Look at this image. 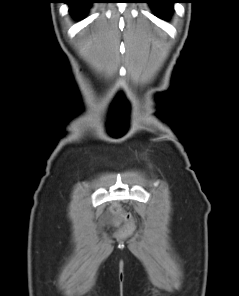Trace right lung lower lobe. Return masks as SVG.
<instances>
[{
	"label": "right lung lower lobe",
	"instance_id": "obj_1",
	"mask_svg": "<svg viewBox=\"0 0 239 296\" xmlns=\"http://www.w3.org/2000/svg\"><path fill=\"white\" fill-rule=\"evenodd\" d=\"M95 2L96 0H65V3L69 5V11L75 17H80L84 15L90 5Z\"/></svg>",
	"mask_w": 239,
	"mask_h": 296
}]
</instances>
